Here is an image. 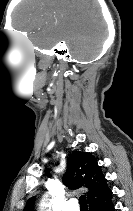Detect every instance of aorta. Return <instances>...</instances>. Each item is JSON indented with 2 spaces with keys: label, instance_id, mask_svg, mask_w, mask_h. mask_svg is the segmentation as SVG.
I'll return each mask as SVG.
<instances>
[{
  "label": "aorta",
  "instance_id": "aorta-1",
  "mask_svg": "<svg viewBox=\"0 0 133 211\" xmlns=\"http://www.w3.org/2000/svg\"><path fill=\"white\" fill-rule=\"evenodd\" d=\"M39 211H50L48 195H44L41 199L39 204Z\"/></svg>",
  "mask_w": 133,
  "mask_h": 211
}]
</instances>
